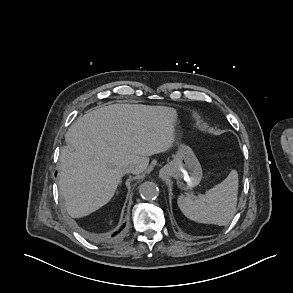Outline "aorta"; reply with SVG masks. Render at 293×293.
<instances>
[{
	"instance_id": "1",
	"label": "aorta",
	"mask_w": 293,
	"mask_h": 293,
	"mask_svg": "<svg viewBox=\"0 0 293 293\" xmlns=\"http://www.w3.org/2000/svg\"><path fill=\"white\" fill-rule=\"evenodd\" d=\"M139 193L143 199L151 201L157 198L159 189L154 182L146 181L139 186Z\"/></svg>"
}]
</instances>
